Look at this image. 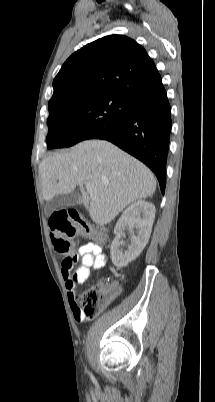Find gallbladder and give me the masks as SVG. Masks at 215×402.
<instances>
[{
	"label": "gallbladder",
	"instance_id": "bac80fb5",
	"mask_svg": "<svg viewBox=\"0 0 215 402\" xmlns=\"http://www.w3.org/2000/svg\"><path fill=\"white\" fill-rule=\"evenodd\" d=\"M81 203L82 198L77 192L58 194L46 204V212L50 215L59 208L74 206Z\"/></svg>",
	"mask_w": 215,
	"mask_h": 402
}]
</instances>
